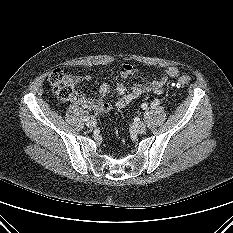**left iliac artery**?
<instances>
[{"label": "left iliac artery", "instance_id": "1", "mask_svg": "<svg viewBox=\"0 0 233 233\" xmlns=\"http://www.w3.org/2000/svg\"><path fill=\"white\" fill-rule=\"evenodd\" d=\"M159 104V101H156V102H154V103H152V106H157ZM147 104L146 103H143L142 105H141V108L143 109V110H145V109H147Z\"/></svg>", "mask_w": 233, "mask_h": 233}]
</instances>
